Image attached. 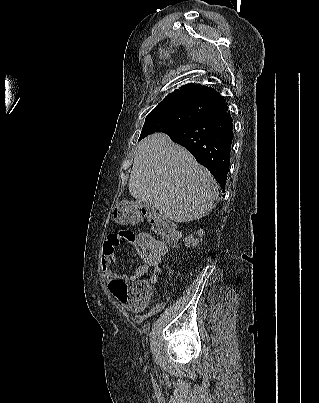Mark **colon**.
<instances>
[{
	"mask_svg": "<svg viewBox=\"0 0 319 403\" xmlns=\"http://www.w3.org/2000/svg\"><path fill=\"white\" fill-rule=\"evenodd\" d=\"M113 213L116 222L125 224H138L143 217L146 218L151 229H140L137 236L139 253L145 254L146 258H158L160 254H165L167 244H175L179 237L173 224L154 212H143L132 197H123Z\"/></svg>",
	"mask_w": 319,
	"mask_h": 403,
	"instance_id": "5ec220e1",
	"label": "colon"
}]
</instances>
